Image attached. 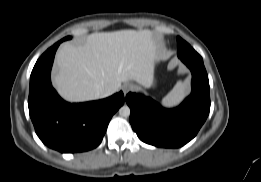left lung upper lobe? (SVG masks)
I'll return each instance as SVG.
<instances>
[{"mask_svg": "<svg viewBox=\"0 0 261 182\" xmlns=\"http://www.w3.org/2000/svg\"><path fill=\"white\" fill-rule=\"evenodd\" d=\"M177 54L179 58H202L186 41L177 37Z\"/></svg>", "mask_w": 261, "mask_h": 182, "instance_id": "1", "label": "left lung upper lobe"}]
</instances>
